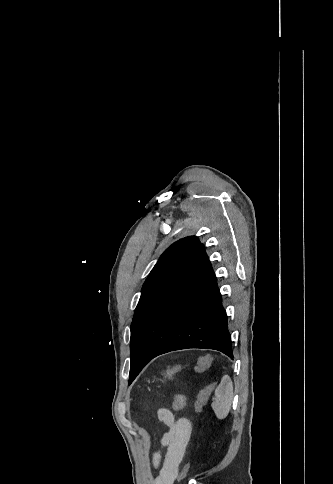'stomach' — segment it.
Here are the masks:
<instances>
[{
	"label": "stomach",
	"instance_id": "1",
	"mask_svg": "<svg viewBox=\"0 0 333 484\" xmlns=\"http://www.w3.org/2000/svg\"><path fill=\"white\" fill-rule=\"evenodd\" d=\"M181 369L180 366H176V367H173L172 369H168L165 373V376L167 377H171L174 373H176L177 371H179Z\"/></svg>",
	"mask_w": 333,
	"mask_h": 484
}]
</instances>
